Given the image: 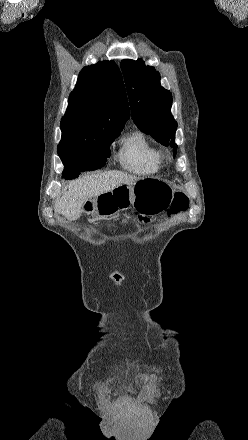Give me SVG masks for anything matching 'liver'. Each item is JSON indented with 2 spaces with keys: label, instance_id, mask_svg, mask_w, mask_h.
Listing matches in <instances>:
<instances>
[{
  "label": "liver",
  "instance_id": "liver-1",
  "mask_svg": "<svg viewBox=\"0 0 248 440\" xmlns=\"http://www.w3.org/2000/svg\"><path fill=\"white\" fill-rule=\"evenodd\" d=\"M138 177L121 171H106L84 176L71 182L64 195L55 201L54 210L67 220H77L84 212L85 203L114 188L127 184L134 185Z\"/></svg>",
  "mask_w": 248,
  "mask_h": 440
}]
</instances>
